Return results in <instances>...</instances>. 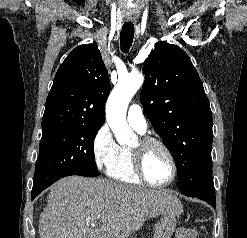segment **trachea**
Segmentation results:
<instances>
[{
  "label": "trachea",
  "instance_id": "trachea-1",
  "mask_svg": "<svg viewBox=\"0 0 247 238\" xmlns=\"http://www.w3.org/2000/svg\"><path fill=\"white\" fill-rule=\"evenodd\" d=\"M134 38V25L132 22H125L120 33V47L122 52L127 53Z\"/></svg>",
  "mask_w": 247,
  "mask_h": 238
}]
</instances>
